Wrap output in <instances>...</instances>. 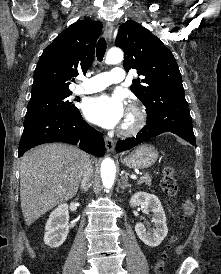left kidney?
<instances>
[{
  "mask_svg": "<svg viewBox=\"0 0 221 274\" xmlns=\"http://www.w3.org/2000/svg\"><path fill=\"white\" fill-rule=\"evenodd\" d=\"M132 207L141 206L145 210L151 211L154 228L147 231L142 223L135 225V232L140 240L150 247H157L167 236L168 229L166 216L160 200L153 194L146 192L135 193L130 199Z\"/></svg>",
  "mask_w": 221,
  "mask_h": 274,
  "instance_id": "1",
  "label": "left kidney"
}]
</instances>
